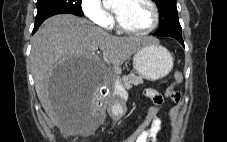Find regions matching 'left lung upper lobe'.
<instances>
[{"label": "left lung upper lobe", "instance_id": "obj_1", "mask_svg": "<svg viewBox=\"0 0 227 142\" xmlns=\"http://www.w3.org/2000/svg\"><path fill=\"white\" fill-rule=\"evenodd\" d=\"M159 7V29L157 32L181 34L176 0H154Z\"/></svg>", "mask_w": 227, "mask_h": 142}]
</instances>
